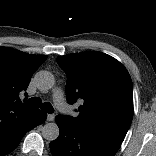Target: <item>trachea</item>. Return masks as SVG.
Wrapping results in <instances>:
<instances>
[{
	"label": "trachea",
	"mask_w": 156,
	"mask_h": 156,
	"mask_svg": "<svg viewBox=\"0 0 156 156\" xmlns=\"http://www.w3.org/2000/svg\"><path fill=\"white\" fill-rule=\"evenodd\" d=\"M26 105L31 108H39L41 106V109L45 111L46 113H53L54 109L53 106L49 102H45L41 104V99L39 97H32L27 102Z\"/></svg>",
	"instance_id": "obj_1"
}]
</instances>
